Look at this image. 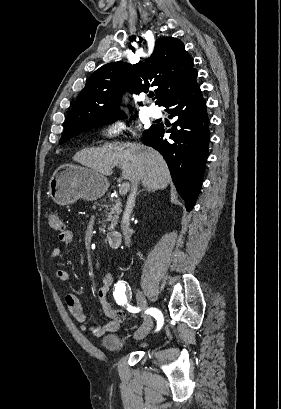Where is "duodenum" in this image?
I'll use <instances>...</instances> for the list:
<instances>
[{
  "label": "duodenum",
  "instance_id": "duodenum-1",
  "mask_svg": "<svg viewBox=\"0 0 281 409\" xmlns=\"http://www.w3.org/2000/svg\"><path fill=\"white\" fill-rule=\"evenodd\" d=\"M107 239L112 248H119L122 243V234L119 231H112L108 233Z\"/></svg>",
  "mask_w": 281,
  "mask_h": 409
}]
</instances>
